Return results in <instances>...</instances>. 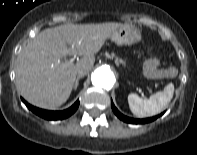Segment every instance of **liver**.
Returning a JSON list of instances; mask_svg holds the SVG:
<instances>
[{"instance_id": "obj_1", "label": "liver", "mask_w": 197, "mask_h": 155, "mask_svg": "<svg viewBox=\"0 0 197 155\" xmlns=\"http://www.w3.org/2000/svg\"><path fill=\"white\" fill-rule=\"evenodd\" d=\"M120 23L66 24L41 31L19 53L16 87L30 104L55 109L69 98L77 72L93 68L100 51ZM66 55L82 56L76 64L65 65Z\"/></svg>"}]
</instances>
